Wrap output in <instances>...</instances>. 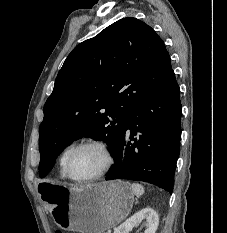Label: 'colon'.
<instances>
[{
	"mask_svg": "<svg viewBox=\"0 0 227 233\" xmlns=\"http://www.w3.org/2000/svg\"><path fill=\"white\" fill-rule=\"evenodd\" d=\"M56 233H63V232H61V231H57Z\"/></svg>",
	"mask_w": 227,
	"mask_h": 233,
	"instance_id": "obj_1",
	"label": "colon"
}]
</instances>
